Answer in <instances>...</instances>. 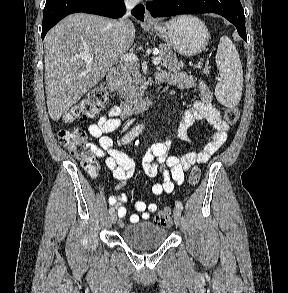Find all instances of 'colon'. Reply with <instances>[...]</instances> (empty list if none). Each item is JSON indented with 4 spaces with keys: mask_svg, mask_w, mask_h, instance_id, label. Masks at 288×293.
<instances>
[{
    "mask_svg": "<svg viewBox=\"0 0 288 293\" xmlns=\"http://www.w3.org/2000/svg\"><path fill=\"white\" fill-rule=\"evenodd\" d=\"M109 93L107 87L100 83L91 88L74 106L67 110L62 116L63 122L71 124L86 120L95 115L108 101ZM240 112L237 107H229L225 110L226 123L234 125L238 122ZM59 142L73 155L91 176H96L99 170L98 161L95 158L91 144L87 141L86 132L80 127L62 128L57 133ZM201 178V170L194 167L189 175V183L196 186ZM155 222L161 226L171 223V211L160 210L155 216Z\"/></svg>",
    "mask_w": 288,
    "mask_h": 293,
    "instance_id": "5ec220e1",
    "label": "colon"
}]
</instances>
